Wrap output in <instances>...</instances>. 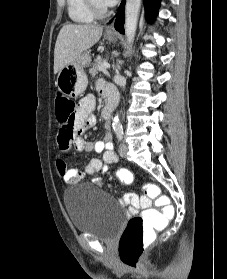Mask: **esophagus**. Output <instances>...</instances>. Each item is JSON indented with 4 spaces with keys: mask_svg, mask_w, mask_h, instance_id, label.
<instances>
[{
    "mask_svg": "<svg viewBox=\"0 0 227 279\" xmlns=\"http://www.w3.org/2000/svg\"><path fill=\"white\" fill-rule=\"evenodd\" d=\"M106 31L109 32V33H114L113 24L109 25V26L106 28Z\"/></svg>",
    "mask_w": 227,
    "mask_h": 279,
    "instance_id": "1",
    "label": "esophagus"
}]
</instances>
